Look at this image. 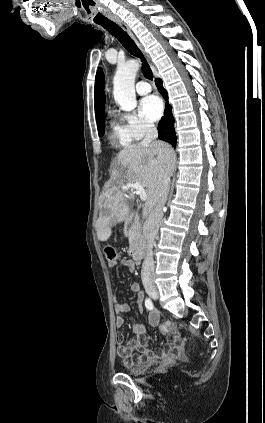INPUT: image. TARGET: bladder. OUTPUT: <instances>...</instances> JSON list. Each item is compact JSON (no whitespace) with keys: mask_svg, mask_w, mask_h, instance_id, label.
<instances>
[{"mask_svg":"<svg viewBox=\"0 0 265 423\" xmlns=\"http://www.w3.org/2000/svg\"><path fill=\"white\" fill-rule=\"evenodd\" d=\"M153 364V361H146L145 363L138 365V366H129L126 369V373L129 375H138L145 371H147L151 365Z\"/></svg>","mask_w":265,"mask_h":423,"instance_id":"1","label":"bladder"}]
</instances>
